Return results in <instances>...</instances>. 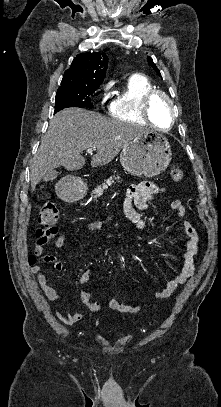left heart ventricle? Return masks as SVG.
Listing matches in <instances>:
<instances>
[{"label":"left heart ventricle","mask_w":221,"mask_h":407,"mask_svg":"<svg viewBox=\"0 0 221 407\" xmlns=\"http://www.w3.org/2000/svg\"><path fill=\"white\" fill-rule=\"evenodd\" d=\"M151 115L154 123L161 128H167L171 120L169 105L163 98H157L151 106Z\"/></svg>","instance_id":"1"}]
</instances>
